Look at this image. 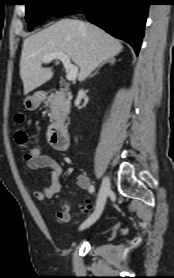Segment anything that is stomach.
I'll return each instance as SVG.
<instances>
[{"label":"stomach","instance_id":"1","mask_svg":"<svg viewBox=\"0 0 174 278\" xmlns=\"http://www.w3.org/2000/svg\"><path fill=\"white\" fill-rule=\"evenodd\" d=\"M38 95L35 94L34 96H29L25 99V106L30 109V110H33V109H36L39 105H40V99L37 97Z\"/></svg>","mask_w":174,"mask_h":278}]
</instances>
